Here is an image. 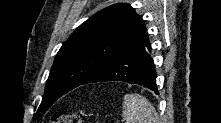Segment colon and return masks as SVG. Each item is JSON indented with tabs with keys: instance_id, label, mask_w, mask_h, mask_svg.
Listing matches in <instances>:
<instances>
[{
	"instance_id": "1",
	"label": "colon",
	"mask_w": 221,
	"mask_h": 123,
	"mask_svg": "<svg viewBox=\"0 0 221 123\" xmlns=\"http://www.w3.org/2000/svg\"><path fill=\"white\" fill-rule=\"evenodd\" d=\"M52 123H85V121L75 113L58 111L52 115Z\"/></svg>"
}]
</instances>
